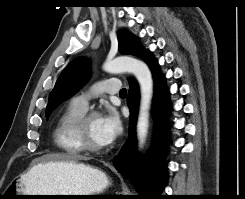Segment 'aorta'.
I'll return each mask as SVG.
<instances>
[{"instance_id": "aorta-1", "label": "aorta", "mask_w": 245, "mask_h": 199, "mask_svg": "<svg viewBox=\"0 0 245 199\" xmlns=\"http://www.w3.org/2000/svg\"><path fill=\"white\" fill-rule=\"evenodd\" d=\"M103 69L108 73H133L140 86V106L136 124L138 147L146 141L149 127V115L153 98V79L149 67L138 59L122 56L107 60Z\"/></svg>"}]
</instances>
